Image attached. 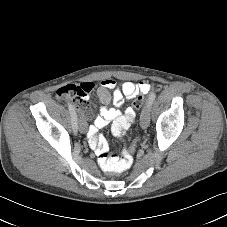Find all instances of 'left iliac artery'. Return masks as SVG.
Returning a JSON list of instances; mask_svg holds the SVG:
<instances>
[{
  "instance_id": "44dca946",
  "label": "left iliac artery",
  "mask_w": 227,
  "mask_h": 227,
  "mask_svg": "<svg viewBox=\"0 0 227 227\" xmlns=\"http://www.w3.org/2000/svg\"><path fill=\"white\" fill-rule=\"evenodd\" d=\"M155 98H156V94L154 92H152L149 95V99H148V103H149L150 106L153 104V101L155 100Z\"/></svg>"
}]
</instances>
